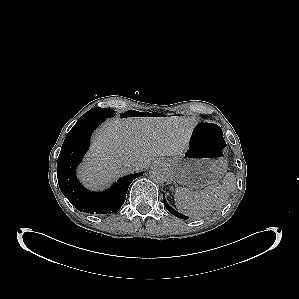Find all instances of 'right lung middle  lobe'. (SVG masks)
Segmentation results:
<instances>
[{"instance_id": "dd1d6c3e", "label": "right lung middle lobe", "mask_w": 299, "mask_h": 299, "mask_svg": "<svg viewBox=\"0 0 299 299\" xmlns=\"http://www.w3.org/2000/svg\"><path fill=\"white\" fill-rule=\"evenodd\" d=\"M114 116V111L111 109H103V108H92L84 115H82L79 120L88 119V118H109Z\"/></svg>"}]
</instances>
